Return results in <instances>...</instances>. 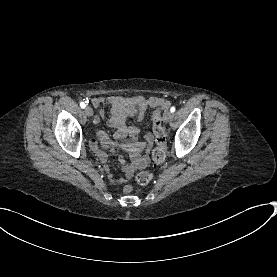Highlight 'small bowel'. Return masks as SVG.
I'll return each mask as SVG.
<instances>
[{"label":"small bowel","mask_w":277,"mask_h":277,"mask_svg":"<svg viewBox=\"0 0 277 277\" xmlns=\"http://www.w3.org/2000/svg\"><path fill=\"white\" fill-rule=\"evenodd\" d=\"M93 105L105 106L111 104V116L108 120V126L115 129V138L122 140L126 137H130L132 140L128 143H115L111 142L110 138L104 132H99L101 144L104 147H109L110 152H129L132 162L127 164L123 159H120V167L123 172L121 177L109 176V182L113 185H119L127 183L131 180L134 173L137 170H142L148 166V158L146 155H139L142 151L145 153L153 142V136L147 134L143 142H138L136 139L139 134V129L134 126L127 125L128 117L135 116L140 122L144 119L145 113L148 108H153L154 113L152 118L157 114H162L164 110L169 107V101L165 98L152 96L149 98L143 96L136 97H123V96H106V97H95L92 100ZM103 116L106 113L101 112ZM99 118L96 117L94 122L97 123ZM91 147L97 151L100 163L105 164L108 161L107 156L102 152L98 151V146L95 142L91 143ZM103 173L108 174L111 171L110 166L105 165L102 168Z\"/></svg>","instance_id":"c3829d8e"}]
</instances>
